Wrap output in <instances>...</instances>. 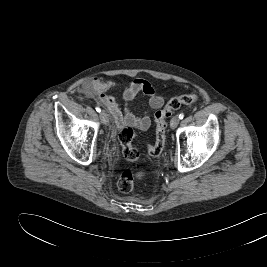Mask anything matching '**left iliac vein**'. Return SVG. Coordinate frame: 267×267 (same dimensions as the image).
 I'll use <instances>...</instances> for the list:
<instances>
[{
  "label": "left iliac vein",
  "mask_w": 267,
  "mask_h": 267,
  "mask_svg": "<svg viewBox=\"0 0 267 267\" xmlns=\"http://www.w3.org/2000/svg\"><path fill=\"white\" fill-rule=\"evenodd\" d=\"M179 122H180L179 117L178 116H174L170 121L171 128L175 129L178 126Z\"/></svg>",
  "instance_id": "obj_1"
}]
</instances>
